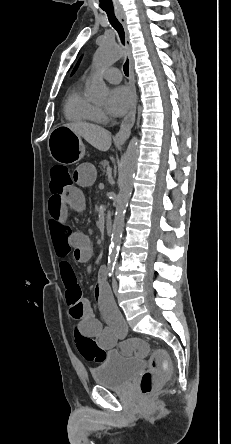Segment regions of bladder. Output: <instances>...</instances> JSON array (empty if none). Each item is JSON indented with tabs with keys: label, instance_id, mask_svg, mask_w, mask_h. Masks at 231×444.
<instances>
[{
	"label": "bladder",
	"instance_id": "31cf9c89",
	"mask_svg": "<svg viewBox=\"0 0 231 444\" xmlns=\"http://www.w3.org/2000/svg\"><path fill=\"white\" fill-rule=\"evenodd\" d=\"M143 368L144 363L142 359L124 357L120 351L112 350L92 370V376L95 383L99 386L109 389H121Z\"/></svg>",
	"mask_w": 231,
	"mask_h": 444
}]
</instances>
